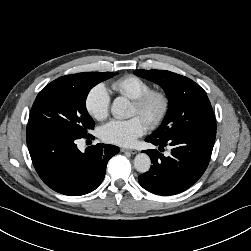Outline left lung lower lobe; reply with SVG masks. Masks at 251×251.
Wrapping results in <instances>:
<instances>
[{
	"instance_id": "obj_1",
	"label": "left lung lower lobe",
	"mask_w": 251,
	"mask_h": 251,
	"mask_svg": "<svg viewBox=\"0 0 251 251\" xmlns=\"http://www.w3.org/2000/svg\"><path fill=\"white\" fill-rule=\"evenodd\" d=\"M216 131L185 132L167 140L146 138L159 146H172L171 155L165 157L157 150H145L153 165L138 177L140 185L157 195L169 196L191 187L206 170L214 146Z\"/></svg>"
}]
</instances>
